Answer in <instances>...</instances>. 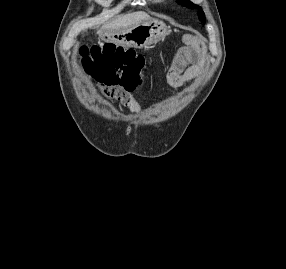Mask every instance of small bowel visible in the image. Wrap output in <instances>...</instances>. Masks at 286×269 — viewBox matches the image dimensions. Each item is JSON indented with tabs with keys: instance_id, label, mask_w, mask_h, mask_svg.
Here are the masks:
<instances>
[{
	"instance_id": "c3829d8e",
	"label": "small bowel",
	"mask_w": 286,
	"mask_h": 269,
	"mask_svg": "<svg viewBox=\"0 0 286 269\" xmlns=\"http://www.w3.org/2000/svg\"><path fill=\"white\" fill-rule=\"evenodd\" d=\"M206 62V52L198 39H186V45L175 54L171 66L166 73V80L171 87L178 88L184 83L198 77ZM113 98L119 100L131 111L139 113L141 107L130 91L117 88Z\"/></svg>"
}]
</instances>
